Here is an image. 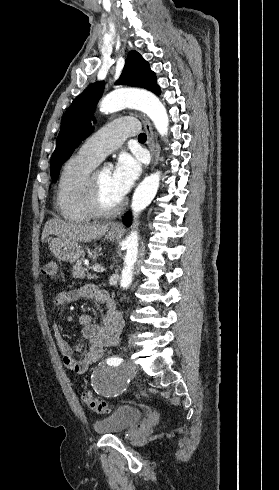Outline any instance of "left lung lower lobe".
<instances>
[{
    "label": "left lung lower lobe",
    "mask_w": 279,
    "mask_h": 490,
    "mask_svg": "<svg viewBox=\"0 0 279 490\" xmlns=\"http://www.w3.org/2000/svg\"><path fill=\"white\" fill-rule=\"evenodd\" d=\"M123 223L126 226H129L131 224V215L127 212L125 216L123 217Z\"/></svg>",
    "instance_id": "obj_1"
}]
</instances>
